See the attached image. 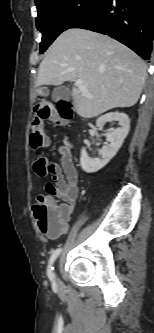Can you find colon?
I'll use <instances>...</instances> for the list:
<instances>
[{
  "label": "colon",
  "instance_id": "obj_1",
  "mask_svg": "<svg viewBox=\"0 0 154 333\" xmlns=\"http://www.w3.org/2000/svg\"><path fill=\"white\" fill-rule=\"evenodd\" d=\"M49 109L41 101L34 106V119L32 122L31 145L38 149L47 143L43 133V120L49 117ZM56 124L64 121L57 119ZM32 169L39 175L44 176L49 172V162L43 155H35L32 159ZM33 214L40 231L48 236L59 234L66 227L67 210L56 203L50 196L40 195L33 205Z\"/></svg>",
  "mask_w": 154,
  "mask_h": 333
}]
</instances>
